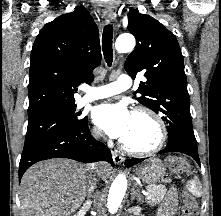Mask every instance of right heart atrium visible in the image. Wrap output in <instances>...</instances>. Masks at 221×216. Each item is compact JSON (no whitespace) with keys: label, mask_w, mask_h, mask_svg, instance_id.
Here are the masks:
<instances>
[{"label":"right heart atrium","mask_w":221,"mask_h":216,"mask_svg":"<svg viewBox=\"0 0 221 216\" xmlns=\"http://www.w3.org/2000/svg\"><path fill=\"white\" fill-rule=\"evenodd\" d=\"M91 135L94 139H99L101 137V133L96 127L91 129Z\"/></svg>","instance_id":"obj_1"}]
</instances>
